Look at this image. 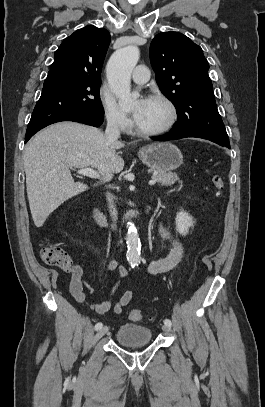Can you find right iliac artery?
<instances>
[{"label":"right iliac artery","instance_id":"obj_1","mask_svg":"<svg viewBox=\"0 0 265 407\" xmlns=\"http://www.w3.org/2000/svg\"><path fill=\"white\" fill-rule=\"evenodd\" d=\"M102 326H103V324H102L101 322H98V323L95 325V329L98 330V329L102 328Z\"/></svg>","mask_w":265,"mask_h":407}]
</instances>
